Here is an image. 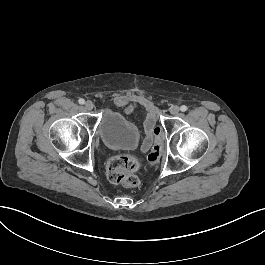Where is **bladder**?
Instances as JSON below:
<instances>
[{
  "label": "bladder",
  "mask_w": 265,
  "mask_h": 265,
  "mask_svg": "<svg viewBox=\"0 0 265 265\" xmlns=\"http://www.w3.org/2000/svg\"><path fill=\"white\" fill-rule=\"evenodd\" d=\"M98 132L103 143L110 149H131L139 139L138 128L121 113L107 109L103 112Z\"/></svg>",
  "instance_id": "obj_1"
}]
</instances>
